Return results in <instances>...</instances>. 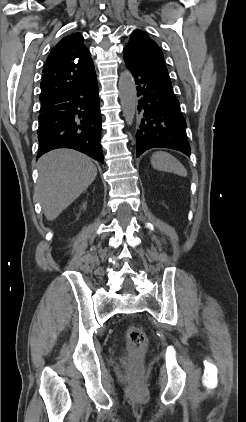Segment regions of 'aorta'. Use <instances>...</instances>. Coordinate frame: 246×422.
<instances>
[{"mask_svg": "<svg viewBox=\"0 0 246 422\" xmlns=\"http://www.w3.org/2000/svg\"><path fill=\"white\" fill-rule=\"evenodd\" d=\"M118 88L125 120L130 124L135 117L137 91L134 78L128 70L120 74Z\"/></svg>", "mask_w": 246, "mask_h": 422, "instance_id": "762f6f07", "label": "aorta"}]
</instances>
